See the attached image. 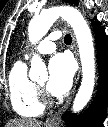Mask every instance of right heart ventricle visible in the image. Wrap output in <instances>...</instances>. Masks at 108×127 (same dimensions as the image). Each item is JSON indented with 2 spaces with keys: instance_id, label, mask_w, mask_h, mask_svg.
<instances>
[{
  "instance_id": "e07e8e85",
  "label": "right heart ventricle",
  "mask_w": 108,
  "mask_h": 127,
  "mask_svg": "<svg viewBox=\"0 0 108 127\" xmlns=\"http://www.w3.org/2000/svg\"><path fill=\"white\" fill-rule=\"evenodd\" d=\"M9 98L13 110L23 117H37L44 106L39 97L36 84L27 75V65L16 62L8 76Z\"/></svg>"
}]
</instances>
